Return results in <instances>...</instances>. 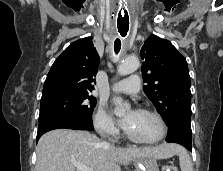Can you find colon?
I'll return each instance as SVG.
<instances>
[{
	"instance_id": "1",
	"label": "colon",
	"mask_w": 223,
	"mask_h": 171,
	"mask_svg": "<svg viewBox=\"0 0 223 171\" xmlns=\"http://www.w3.org/2000/svg\"><path fill=\"white\" fill-rule=\"evenodd\" d=\"M163 171H178V169L174 165H166Z\"/></svg>"
}]
</instances>
